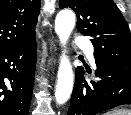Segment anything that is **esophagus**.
I'll return each mask as SVG.
<instances>
[{
    "label": "esophagus",
    "instance_id": "obj_1",
    "mask_svg": "<svg viewBox=\"0 0 131 115\" xmlns=\"http://www.w3.org/2000/svg\"><path fill=\"white\" fill-rule=\"evenodd\" d=\"M53 45V39H51V46ZM49 64H51L50 62H49Z\"/></svg>",
    "mask_w": 131,
    "mask_h": 115
}]
</instances>
